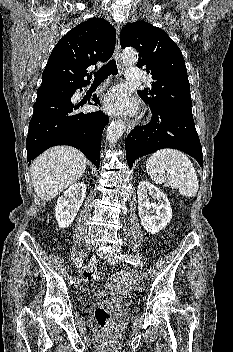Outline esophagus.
<instances>
[{
  "instance_id": "34e87169",
  "label": "esophagus",
  "mask_w": 233,
  "mask_h": 352,
  "mask_svg": "<svg viewBox=\"0 0 233 352\" xmlns=\"http://www.w3.org/2000/svg\"><path fill=\"white\" fill-rule=\"evenodd\" d=\"M119 35H120V25L117 26V41H116V47H115V58L116 61L121 64V58H120V52H121V47H120V42H119ZM127 127V132H129L133 128V123L130 121L126 125Z\"/></svg>"
}]
</instances>
